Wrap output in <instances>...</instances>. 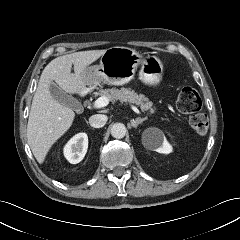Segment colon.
I'll return each mask as SVG.
<instances>
[{"label":"colon","instance_id":"1","mask_svg":"<svg viewBox=\"0 0 240 240\" xmlns=\"http://www.w3.org/2000/svg\"><path fill=\"white\" fill-rule=\"evenodd\" d=\"M177 109L184 114H190L191 128L198 134L204 135L208 130V118L201 112L202 99L198 91L193 87H184L179 91Z\"/></svg>","mask_w":240,"mask_h":240}]
</instances>
